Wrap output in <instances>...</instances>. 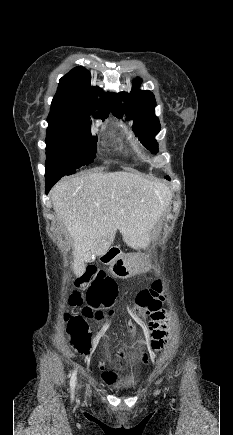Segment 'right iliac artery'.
Masks as SVG:
<instances>
[{"label":"right iliac artery","instance_id":"right-iliac-artery-1","mask_svg":"<svg viewBox=\"0 0 233 435\" xmlns=\"http://www.w3.org/2000/svg\"><path fill=\"white\" fill-rule=\"evenodd\" d=\"M75 381H76V370L73 371L72 376H71V380H70L71 392L74 391Z\"/></svg>","mask_w":233,"mask_h":435}]
</instances>
